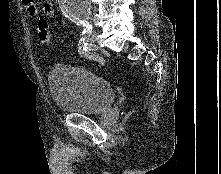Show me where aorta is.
<instances>
[{
  "instance_id": "aorta-1",
  "label": "aorta",
  "mask_w": 221,
  "mask_h": 174,
  "mask_svg": "<svg viewBox=\"0 0 221 174\" xmlns=\"http://www.w3.org/2000/svg\"><path fill=\"white\" fill-rule=\"evenodd\" d=\"M91 0H59L62 12L70 19L87 21L90 15Z\"/></svg>"
}]
</instances>
